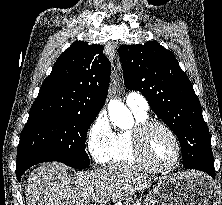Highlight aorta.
I'll use <instances>...</instances> for the list:
<instances>
[{
	"label": "aorta",
	"instance_id": "1",
	"mask_svg": "<svg viewBox=\"0 0 222 205\" xmlns=\"http://www.w3.org/2000/svg\"><path fill=\"white\" fill-rule=\"evenodd\" d=\"M110 120L121 128H128L133 124V117L128 108L119 100H110L108 104Z\"/></svg>",
	"mask_w": 222,
	"mask_h": 205
}]
</instances>
